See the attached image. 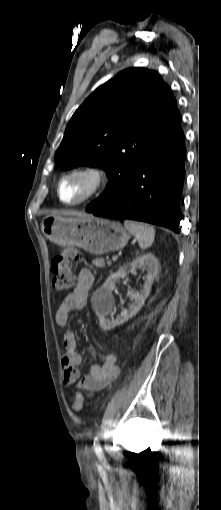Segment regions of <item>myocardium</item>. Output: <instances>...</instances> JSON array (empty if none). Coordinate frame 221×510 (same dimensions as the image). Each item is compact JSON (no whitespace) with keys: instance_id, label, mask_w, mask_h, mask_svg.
Here are the masks:
<instances>
[{"instance_id":"f54148a6","label":"myocardium","mask_w":221,"mask_h":510,"mask_svg":"<svg viewBox=\"0 0 221 510\" xmlns=\"http://www.w3.org/2000/svg\"><path fill=\"white\" fill-rule=\"evenodd\" d=\"M80 176L84 177L89 182V188L86 194L80 199L72 202H67L62 198L63 184L70 178ZM107 183L106 173L103 168L96 164H84L76 166L68 170L59 180L57 194L60 202L67 206H78L85 204L94 198L98 197L104 190Z\"/></svg>"}]
</instances>
